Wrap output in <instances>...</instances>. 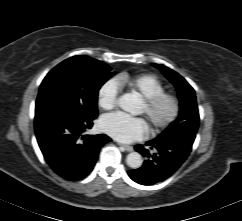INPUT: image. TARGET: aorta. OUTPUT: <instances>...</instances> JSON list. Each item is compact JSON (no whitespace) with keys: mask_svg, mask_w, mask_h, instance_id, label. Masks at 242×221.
<instances>
[{"mask_svg":"<svg viewBox=\"0 0 242 221\" xmlns=\"http://www.w3.org/2000/svg\"><path fill=\"white\" fill-rule=\"evenodd\" d=\"M118 104L124 111L132 112L137 105V99L134 95L125 94L119 98ZM126 163L129 167L138 169L142 166L143 159L138 152H131L126 157Z\"/></svg>","mask_w":242,"mask_h":221,"instance_id":"762f6f07","label":"aorta"}]
</instances>
